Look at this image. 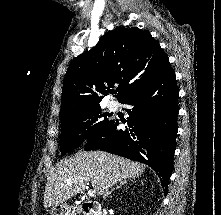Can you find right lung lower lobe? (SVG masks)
I'll return each instance as SVG.
<instances>
[{
  "instance_id": "98d812e1",
  "label": "right lung lower lobe",
  "mask_w": 221,
  "mask_h": 215,
  "mask_svg": "<svg viewBox=\"0 0 221 215\" xmlns=\"http://www.w3.org/2000/svg\"><path fill=\"white\" fill-rule=\"evenodd\" d=\"M178 95L175 73L170 69L121 102L132 106L126 109L129 117L125 130L111 120L89 138L85 149H101L149 165L159 176L166 194L178 129Z\"/></svg>"
}]
</instances>
